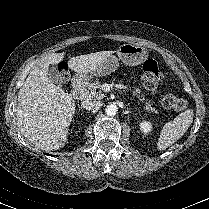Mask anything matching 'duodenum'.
<instances>
[{
  "mask_svg": "<svg viewBox=\"0 0 209 209\" xmlns=\"http://www.w3.org/2000/svg\"><path fill=\"white\" fill-rule=\"evenodd\" d=\"M86 88V83L82 80H75L72 89H71V95L74 98H79L83 95Z\"/></svg>",
  "mask_w": 209,
  "mask_h": 209,
  "instance_id": "obj_1",
  "label": "duodenum"
}]
</instances>
